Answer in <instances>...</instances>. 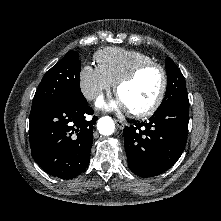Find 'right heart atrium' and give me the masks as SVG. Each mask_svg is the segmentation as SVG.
Segmentation results:
<instances>
[{
  "label": "right heart atrium",
  "instance_id": "1",
  "mask_svg": "<svg viewBox=\"0 0 221 221\" xmlns=\"http://www.w3.org/2000/svg\"><path fill=\"white\" fill-rule=\"evenodd\" d=\"M114 84L96 67L85 65L79 75V89L87 100H93Z\"/></svg>",
  "mask_w": 221,
  "mask_h": 221
}]
</instances>
